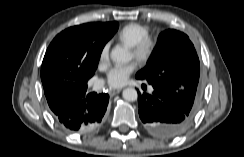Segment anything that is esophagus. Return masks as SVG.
Listing matches in <instances>:
<instances>
[{
	"instance_id": "1",
	"label": "esophagus",
	"mask_w": 244,
	"mask_h": 157,
	"mask_svg": "<svg viewBox=\"0 0 244 157\" xmlns=\"http://www.w3.org/2000/svg\"><path fill=\"white\" fill-rule=\"evenodd\" d=\"M121 90H122L121 88H118V89H112V90L109 91V94H110L111 96H114V95L118 94Z\"/></svg>"
}]
</instances>
